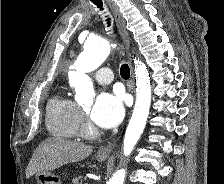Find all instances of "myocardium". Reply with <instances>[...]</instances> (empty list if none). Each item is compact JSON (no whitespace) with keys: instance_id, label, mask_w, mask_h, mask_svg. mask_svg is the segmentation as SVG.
I'll use <instances>...</instances> for the list:
<instances>
[{"instance_id":"myocardium-1","label":"myocardium","mask_w":224,"mask_h":184,"mask_svg":"<svg viewBox=\"0 0 224 184\" xmlns=\"http://www.w3.org/2000/svg\"><path fill=\"white\" fill-rule=\"evenodd\" d=\"M80 133L86 138H94L98 135V130L87 119H84Z\"/></svg>"}]
</instances>
